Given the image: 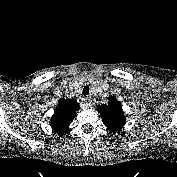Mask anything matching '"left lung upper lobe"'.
<instances>
[{
  "mask_svg": "<svg viewBox=\"0 0 177 177\" xmlns=\"http://www.w3.org/2000/svg\"><path fill=\"white\" fill-rule=\"evenodd\" d=\"M103 123L111 133L120 131L125 125V116L121 103L112 97L108 104L100 105L97 108Z\"/></svg>",
  "mask_w": 177,
  "mask_h": 177,
  "instance_id": "5c2ea615",
  "label": "left lung upper lobe"
}]
</instances>
